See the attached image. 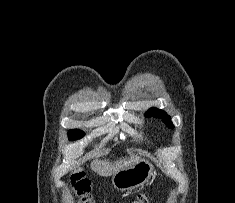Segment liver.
I'll list each match as a JSON object with an SVG mask.
<instances>
[{"instance_id": "6515ba94", "label": "liver", "mask_w": 235, "mask_h": 203, "mask_svg": "<svg viewBox=\"0 0 235 203\" xmlns=\"http://www.w3.org/2000/svg\"><path fill=\"white\" fill-rule=\"evenodd\" d=\"M139 160L138 156L130 155V157L120 159L115 161L114 163H110L108 160H98L95 159L91 162V168L94 172H96L100 176H110L119 170L134 165ZM83 170L82 168H78L77 171Z\"/></svg>"}]
</instances>
